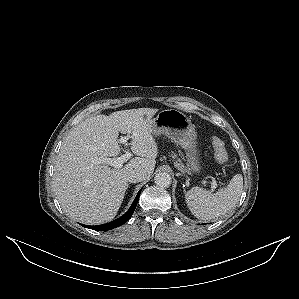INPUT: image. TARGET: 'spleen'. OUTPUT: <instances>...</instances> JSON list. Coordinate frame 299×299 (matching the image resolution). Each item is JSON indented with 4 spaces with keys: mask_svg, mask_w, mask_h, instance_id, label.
I'll use <instances>...</instances> for the list:
<instances>
[{
    "mask_svg": "<svg viewBox=\"0 0 299 299\" xmlns=\"http://www.w3.org/2000/svg\"><path fill=\"white\" fill-rule=\"evenodd\" d=\"M243 190V177L236 174L227 187L211 193L200 187H193L185 194L191 213L198 219L211 220L224 215L238 203Z\"/></svg>",
    "mask_w": 299,
    "mask_h": 299,
    "instance_id": "1",
    "label": "spleen"
}]
</instances>
